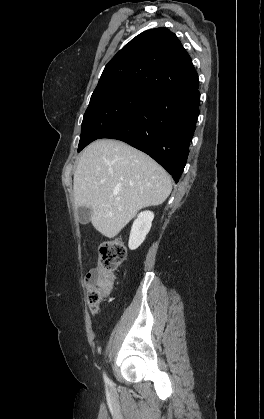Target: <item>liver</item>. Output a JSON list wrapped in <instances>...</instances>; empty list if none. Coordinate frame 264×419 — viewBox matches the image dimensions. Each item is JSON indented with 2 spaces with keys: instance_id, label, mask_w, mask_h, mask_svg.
<instances>
[{
  "instance_id": "liver-1",
  "label": "liver",
  "mask_w": 264,
  "mask_h": 419,
  "mask_svg": "<svg viewBox=\"0 0 264 419\" xmlns=\"http://www.w3.org/2000/svg\"><path fill=\"white\" fill-rule=\"evenodd\" d=\"M171 190V178L157 162L111 139L85 148L73 179L75 207L90 208L92 225L108 238H114L140 209L162 204Z\"/></svg>"
}]
</instances>
